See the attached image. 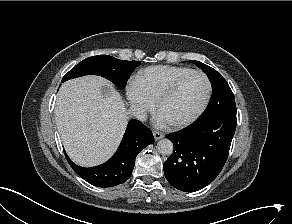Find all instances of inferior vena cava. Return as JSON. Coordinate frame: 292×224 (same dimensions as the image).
<instances>
[{
    "label": "inferior vena cava",
    "instance_id": "1",
    "mask_svg": "<svg viewBox=\"0 0 292 224\" xmlns=\"http://www.w3.org/2000/svg\"><path fill=\"white\" fill-rule=\"evenodd\" d=\"M129 114L131 115V117L140 121H145L147 116L145 111L137 105L130 106Z\"/></svg>",
    "mask_w": 292,
    "mask_h": 224
}]
</instances>
